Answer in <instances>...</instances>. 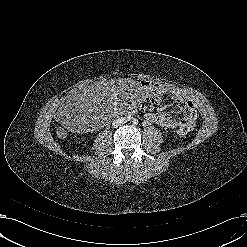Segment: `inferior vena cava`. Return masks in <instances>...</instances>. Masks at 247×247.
Segmentation results:
<instances>
[{
	"label": "inferior vena cava",
	"mask_w": 247,
	"mask_h": 247,
	"mask_svg": "<svg viewBox=\"0 0 247 247\" xmlns=\"http://www.w3.org/2000/svg\"><path fill=\"white\" fill-rule=\"evenodd\" d=\"M126 122H127L126 118L120 117V118H117L116 120L113 121V126L118 127L120 125L125 124Z\"/></svg>",
	"instance_id": "inferior-vena-cava-1"
}]
</instances>
